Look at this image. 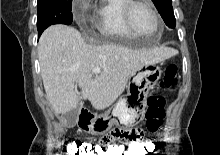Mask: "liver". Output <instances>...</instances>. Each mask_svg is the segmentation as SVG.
Listing matches in <instances>:
<instances>
[{
	"label": "liver",
	"mask_w": 220,
	"mask_h": 155,
	"mask_svg": "<svg viewBox=\"0 0 220 155\" xmlns=\"http://www.w3.org/2000/svg\"><path fill=\"white\" fill-rule=\"evenodd\" d=\"M174 55L169 48L133 50L124 46L85 43L80 32L66 25H53L41 35L38 57L46 97L55 114L77 107L89 99L96 110L113 104L128 80L144 65L162 62ZM101 72L93 78V69ZM79 86L82 93L74 88Z\"/></svg>",
	"instance_id": "6515ba94"
}]
</instances>
